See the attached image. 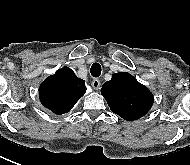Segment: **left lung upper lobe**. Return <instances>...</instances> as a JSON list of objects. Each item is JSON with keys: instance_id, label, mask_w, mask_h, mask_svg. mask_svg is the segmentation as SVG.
Segmentation results:
<instances>
[{"instance_id": "obj_1", "label": "left lung upper lobe", "mask_w": 190, "mask_h": 165, "mask_svg": "<svg viewBox=\"0 0 190 165\" xmlns=\"http://www.w3.org/2000/svg\"><path fill=\"white\" fill-rule=\"evenodd\" d=\"M101 93L110 109L125 120H136L148 113L154 98L150 90L131 74L119 72L103 84Z\"/></svg>"}]
</instances>
